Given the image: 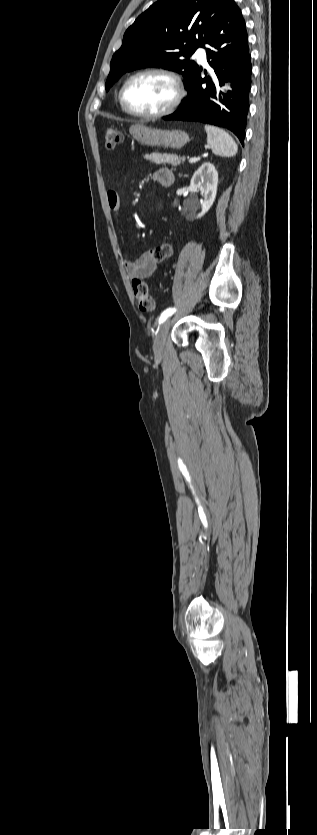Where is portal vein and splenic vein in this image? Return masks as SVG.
I'll use <instances>...</instances> for the list:
<instances>
[{
  "instance_id": "portal-vein-and-splenic-vein-1",
  "label": "portal vein and splenic vein",
  "mask_w": 317,
  "mask_h": 835,
  "mask_svg": "<svg viewBox=\"0 0 317 835\" xmlns=\"http://www.w3.org/2000/svg\"><path fill=\"white\" fill-rule=\"evenodd\" d=\"M197 160H198V158H191L189 161L193 162V161H197ZM178 163H180V160L178 161Z\"/></svg>"
}]
</instances>
